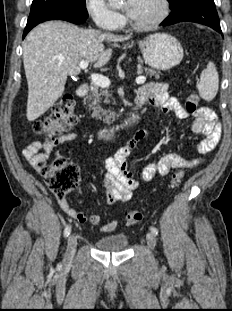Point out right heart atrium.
I'll use <instances>...</instances> for the list:
<instances>
[{"instance_id":"1","label":"right heart atrium","mask_w":232,"mask_h":311,"mask_svg":"<svg viewBox=\"0 0 232 311\" xmlns=\"http://www.w3.org/2000/svg\"><path fill=\"white\" fill-rule=\"evenodd\" d=\"M85 6L94 23L102 29L116 30L123 22V16L105 0H85Z\"/></svg>"}]
</instances>
